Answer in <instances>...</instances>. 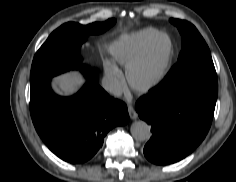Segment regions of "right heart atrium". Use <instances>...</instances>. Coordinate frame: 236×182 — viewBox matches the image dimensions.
Wrapping results in <instances>:
<instances>
[{"mask_svg":"<svg viewBox=\"0 0 236 182\" xmlns=\"http://www.w3.org/2000/svg\"><path fill=\"white\" fill-rule=\"evenodd\" d=\"M104 82L107 88L113 92L120 91L124 86L122 72L111 62H105L104 64Z\"/></svg>","mask_w":236,"mask_h":182,"instance_id":"obj_1","label":"right heart atrium"}]
</instances>
